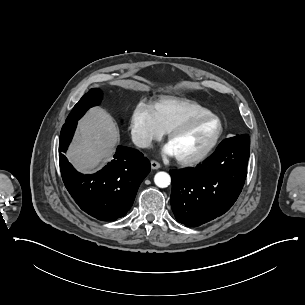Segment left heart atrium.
<instances>
[{
	"mask_svg": "<svg viewBox=\"0 0 305 305\" xmlns=\"http://www.w3.org/2000/svg\"><path fill=\"white\" fill-rule=\"evenodd\" d=\"M164 152L168 155H175L171 146H166L165 149H164Z\"/></svg>",
	"mask_w": 305,
	"mask_h": 305,
	"instance_id": "obj_1",
	"label": "left heart atrium"
}]
</instances>
